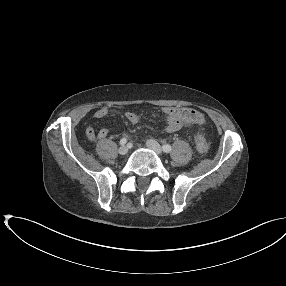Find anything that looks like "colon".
<instances>
[{
    "label": "colon",
    "mask_w": 286,
    "mask_h": 286,
    "mask_svg": "<svg viewBox=\"0 0 286 286\" xmlns=\"http://www.w3.org/2000/svg\"><path fill=\"white\" fill-rule=\"evenodd\" d=\"M195 145L200 153H206L208 151L209 144L202 133H197L195 135Z\"/></svg>",
    "instance_id": "obj_1"
}]
</instances>
